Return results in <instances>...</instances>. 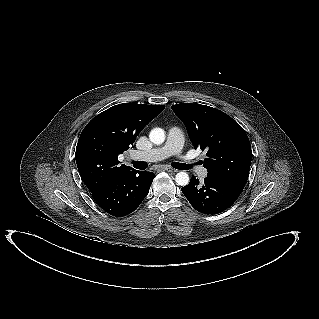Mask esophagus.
<instances>
[{
  "instance_id": "34e87169",
  "label": "esophagus",
  "mask_w": 319,
  "mask_h": 319,
  "mask_svg": "<svg viewBox=\"0 0 319 319\" xmlns=\"http://www.w3.org/2000/svg\"><path fill=\"white\" fill-rule=\"evenodd\" d=\"M165 171L170 172V173H176L178 170L174 169V168H171V167H166Z\"/></svg>"
}]
</instances>
